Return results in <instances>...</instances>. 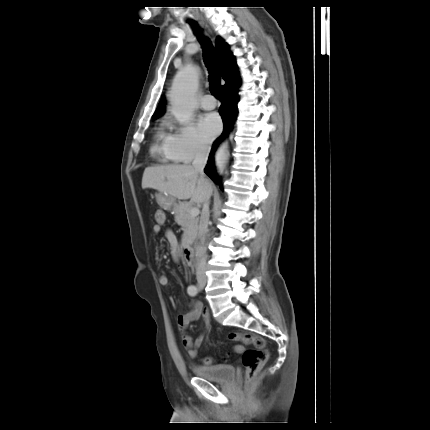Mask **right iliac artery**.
Returning <instances> with one entry per match:
<instances>
[{"label": "right iliac artery", "mask_w": 430, "mask_h": 430, "mask_svg": "<svg viewBox=\"0 0 430 430\" xmlns=\"http://www.w3.org/2000/svg\"><path fill=\"white\" fill-rule=\"evenodd\" d=\"M187 293H188L190 296H195V295L198 293V288H197L195 285H190V286L187 288Z\"/></svg>", "instance_id": "obj_1"}]
</instances>
